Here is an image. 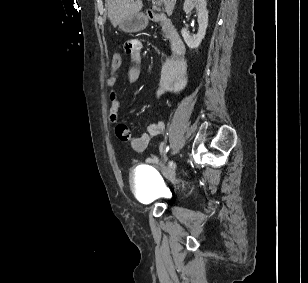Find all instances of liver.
Returning a JSON list of instances; mask_svg holds the SVG:
<instances>
[{
  "mask_svg": "<svg viewBox=\"0 0 308 283\" xmlns=\"http://www.w3.org/2000/svg\"><path fill=\"white\" fill-rule=\"evenodd\" d=\"M165 10L171 14L176 0H161ZM108 7V19L113 26H117L124 18L135 15L143 7L142 0H106Z\"/></svg>",
  "mask_w": 308,
  "mask_h": 283,
  "instance_id": "6515ba94",
  "label": "liver"
}]
</instances>
